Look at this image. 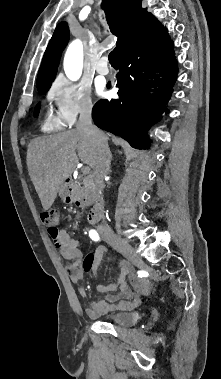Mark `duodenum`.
<instances>
[{
    "label": "duodenum",
    "instance_id": "1",
    "mask_svg": "<svg viewBox=\"0 0 221 379\" xmlns=\"http://www.w3.org/2000/svg\"><path fill=\"white\" fill-rule=\"evenodd\" d=\"M67 189H68V197H67V200L68 201H75V198H74V195H73V191H74V183L73 181L71 180H67ZM102 214H103V200L101 197H99L92 209L90 210L88 216H87V220L89 223H96L100 220V218L102 217Z\"/></svg>",
    "mask_w": 221,
    "mask_h": 379
}]
</instances>
